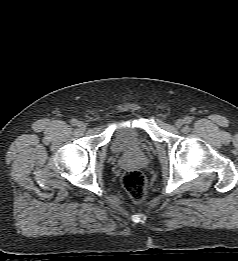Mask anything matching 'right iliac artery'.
I'll return each mask as SVG.
<instances>
[{
  "instance_id": "82829eb1",
  "label": "right iliac artery",
  "mask_w": 238,
  "mask_h": 261,
  "mask_svg": "<svg viewBox=\"0 0 238 261\" xmlns=\"http://www.w3.org/2000/svg\"><path fill=\"white\" fill-rule=\"evenodd\" d=\"M73 126L78 125V121L76 119H72L70 122Z\"/></svg>"
}]
</instances>
